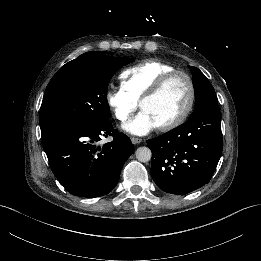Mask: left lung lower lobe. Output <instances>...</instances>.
<instances>
[{
	"mask_svg": "<svg viewBox=\"0 0 261 261\" xmlns=\"http://www.w3.org/2000/svg\"><path fill=\"white\" fill-rule=\"evenodd\" d=\"M151 175L164 192L185 195L206 185L220 159L221 115L210 108L181 126L151 140Z\"/></svg>",
	"mask_w": 261,
	"mask_h": 261,
	"instance_id": "0a47b994",
	"label": "left lung lower lobe"
}]
</instances>
